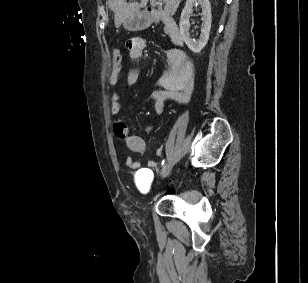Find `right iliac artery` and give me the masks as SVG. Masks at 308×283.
Returning a JSON list of instances; mask_svg holds the SVG:
<instances>
[{"label": "right iliac artery", "instance_id": "obj_1", "mask_svg": "<svg viewBox=\"0 0 308 283\" xmlns=\"http://www.w3.org/2000/svg\"><path fill=\"white\" fill-rule=\"evenodd\" d=\"M164 163H165V160H163V161H162L161 166H163V165H164Z\"/></svg>", "mask_w": 308, "mask_h": 283}]
</instances>
